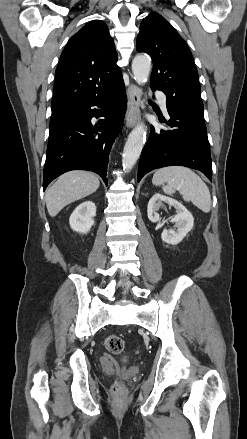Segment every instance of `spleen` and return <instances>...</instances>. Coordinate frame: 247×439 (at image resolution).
<instances>
[{
  "label": "spleen",
  "mask_w": 247,
  "mask_h": 439,
  "mask_svg": "<svg viewBox=\"0 0 247 439\" xmlns=\"http://www.w3.org/2000/svg\"><path fill=\"white\" fill-rule=\"evenodd\" d=\"M152 183L156 186H162L163 192L168 195H173L178 190L185 201H191L204 213L210 212L209 189L191 169L182 166L159 169L153 175Z\"/></svg>",
  "instance_id": "3e777b00"
}]
</instances>
